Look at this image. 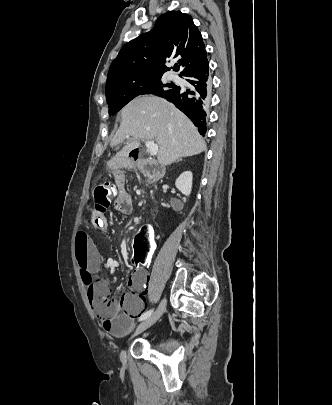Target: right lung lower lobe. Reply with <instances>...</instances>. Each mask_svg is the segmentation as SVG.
<instances>
[{"label":"right lung lower lobe","mask_w":332,"mask_h":405,"mask_svg":"<svg viewBox=\"0 0 332 405\" xmlns=\"http://www.w3.org/2000/svg\"><path fill=\"white\" fill-rule=\"evenodd\" d=\"M181 76L191 84L190 89L175 86L170 91L161 95L172 102L178 109L184 112L198 127L201 135L206 132V121L210 96L211 78L209 75V63L205 59L199 65L185 71Z\"/></svg>","instance_id":"right-lung-lower-lobe-1"}]
</instances>
